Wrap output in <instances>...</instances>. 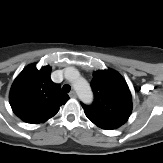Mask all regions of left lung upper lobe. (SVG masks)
<instances>
[{"instance_id":"1","label":"left lung upper lobe","mask_w":163,"mask_h":163,"mask_svg":"<svg viewBox=\"0 0 163 163\" xmlns=\"http://www.w3.org/2000/svg\"><path fill=\"white\" fill-rule=\"evenodd\" d=\"M91 87L93 104H81L86 116L95 125H123L132 111L131 93L123 77L112 69L99 70L93 73Z\"/></svg>"}]
</instances>
